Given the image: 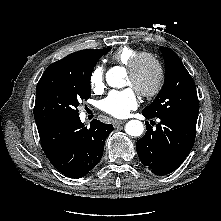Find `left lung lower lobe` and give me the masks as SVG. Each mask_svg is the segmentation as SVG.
I'll use <instances>...</instances> for the list:
<instances>
[{
  "label": "left lung lower lobe",
  "mask_w": 221,
  "mask_h": 221,
  "mask_svg": "<svg viewBox=\"0 0 221 221\" xmlns=\"http://www.w3.org/2000/svg\"><path fill=\"white\" fill-rule=\"evenodd\" d=\"M146 125L144 137L136 142L139 159L154 174L167 175L176 170L191 151L196 124L161 120L156 130L148 123Z\"/></svg>",
  "instance_id": "left-lung-lower-lobe-1"
}]
</instances>
